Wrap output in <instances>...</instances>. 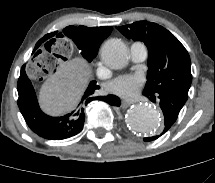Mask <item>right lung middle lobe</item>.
Here are the masks:
<instances>
[{
	"label": "right lung middle lobe",
	"instance_id": "1",
	"mask_svg": "<svg viewBox=\"0 0 215 183\" xmlns=\"http://www.w3.org/2000/svg\"><path fill=\"white\" fill-rule=\"evenodd\" d=\"M68 36L73 42L77 45V47L81 50L82 56L88 61L91 62L94 57H96L98 50L96 47H90L87 44L86 33L84 31V26L74 27L69 26ZM68 28V27H67ZM65 28V29H67ZM64 31V30H63ZM41 41L39 45L42 43Z\"/></svg>",
	"mask_w": 215,
	"mask_h": 183
}]
</instances>
